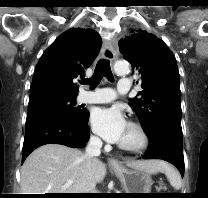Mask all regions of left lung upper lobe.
<instances>
[{"label": "left lung upper lobe", "instance_id": "left-lung-upper-lobe-1", "mask_svg": "<svg viewBox=\"0 0 208 198\" xmlns=\"http://www.w3.org/2000/svg\"><path fill=\"white\" fill-rule=\"evenodd\" d=\"M123 57L132 65L143 90L129 99L149 137L162 129L182 135L181 91L176 58L154 34L139 30L119 41Z\"/></svg>", "mask_w": 208, "mask_h": 198}]
</instances>
